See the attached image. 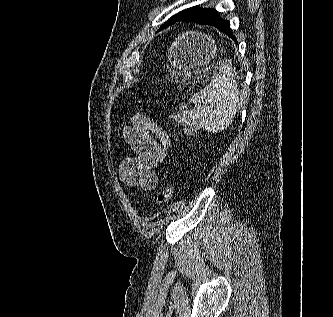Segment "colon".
<instances>
[{
  "label": "colon",
  "mask_w": 333,
  "mask_h": 317,
  "mask_svg": "<svg viewBox=\"0 0 333 317\" xmlns=\"http://www.w3.org/2000/svg\"><path fill=\"white\" fill-rule=\"evenodd\" d=\"M193 132H194V127L191 125L186 126L184 129V133L188 136L193 134ZM173 192H174L173 187L170 184H165L161 188L159 194L157 195L155 204L162 205L168 202L172 198Z\"/></svg>",
  "instance_id": "1"
}]
</instances>
